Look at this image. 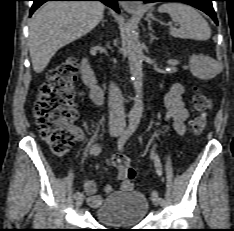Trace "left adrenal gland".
<instances>
[{
    "instance_id": "obj_1",
    "label": "left adrenal gland",
    "mask_w": 234,
    "mask_h": 231,
    "mask_svg": "<svg viewBox=\"0 0 234 231\" xmlns=\"http://www.w3.org/2000/svg\"><path fill=\"white\" fill-rule=\"evenodd\" d=\"M150 29V33H149V36H150V44L154 41V40H157V37L153 35V30L151 28Z\"/></svg>"
}]
</instances>
